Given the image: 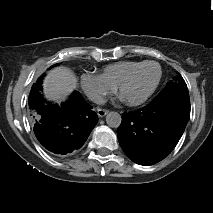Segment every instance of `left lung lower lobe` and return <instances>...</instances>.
Returning <instances> with one entry per match:
<instances>
[{"mask_svg": "<svg viewBox=\"0 0 213 213\" xmlns=\"http://www.w3.org/2000/svg\"><path fill=\"white\" fill-rule=\"evenodd\" d=\"M189 117L188 91L168 89L147 106L122 114L117 130L119 143L131 160L152 165L174 149Z\"/></svg>", "mask_w": 213, "mask_h": 213, "instance_id": "1", "label": "left lung lower lobe"}]
</instances>
